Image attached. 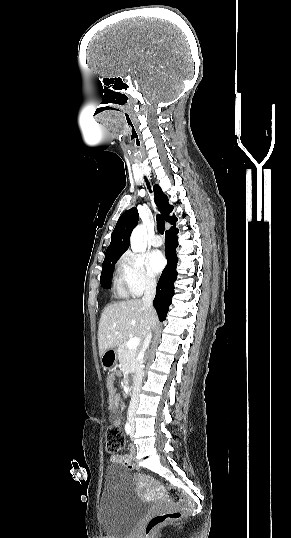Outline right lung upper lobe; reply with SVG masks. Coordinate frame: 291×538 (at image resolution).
<instances>
[{
    "instance_id": "obj_1",
    "label": "right lung upper lobe",
    "mask_w": 291,
    "mask_h": 538,
    "mask_svg": "<svg viewBox=\"0 0 291 538\" xmlns=\"http://www.w3.org/2000/svg\"><path fill=\"white\" fill-rule=\"evenodd\" d=\"M154 192L156 203L164 219L174 225L177 218L175 216H169L173 210V206L169 204L168 197L163 193L159 185H154ZM138 220L139 215L136 208H131L120 216L113 230L110 245L107 247L104 262L118 259L128 249L131 232Z\"/></svg>"
}]
</instances>
